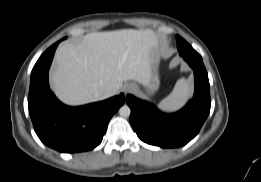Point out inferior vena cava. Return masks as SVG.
Masks as SVG:
<instances>
[{
    "label": "inferior vena cava",
    "instance_id": "inferior-vena-cava-1",
    "mask_svg": "<svg viewBox=\"0 0 261 182\" xmlns=\"http://www.w3.org/2000/svg\"><path fill=\"white\" fill-rule=\"evenodd\" d=\"M111 95H112L111 90H106V91L103 93V97H104V98H108V97H110Z\"/></svg>",
    "mask_w": 261,
    "mask_h": 182
}]
</instances>
